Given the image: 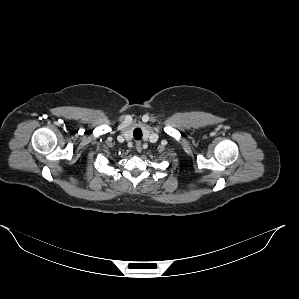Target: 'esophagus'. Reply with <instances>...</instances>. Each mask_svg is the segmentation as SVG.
<instances>
[{
	"instance_id": "obj_1",
	"label": "esophagus",
	"mask_w": 299,
	"mask_h": 299,
	"mask_svg": "<svg viewBox=\"0 0 299 299\" xmlns=\"http://www.w3.org/2000/svg\"><path fill=\"white\" fill-rule=\"evenodd\" d=\"M136 150H137V152H141L142 151V146H141V142L140 141H138L136 143Z\"/></svg>"
}]
</instances>
